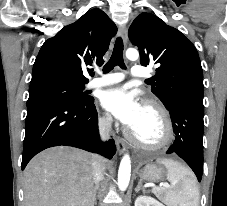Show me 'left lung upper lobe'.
<instances>
[{
    "mask_svg": "<svg viewBox=\"0 0 227 206\" xmlns=\"http://www.w3.org/2000/svg\"><path fill=\"white\" fill-rule=\"evenodd\" d=\"M142 66L157 65L151 91L167 106L178 98L203 100V72L198 52L179 30L151 13H142L129 28Z\"/></svg>",
    "mask_w": 227,
    "mask_h": 206,
    "instance_id": "left-lung-upper-lobe-1",
    "label": "left lung upper lobe"
}]
</instances>
